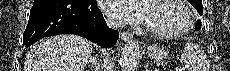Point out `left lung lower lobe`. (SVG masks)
Segmentation results:
<instances>
[{
	"label": "left lung lower lobe",
	"instance_id": "1",
	"mask_svg": "<svg viewBox=\"0 0 230 71\" xmlns=\"http://www.w3.org/2000/svg\"><path fill=\"white\" fill-rule=\"evenodd\" d=\"M200 27H201V21H200V20H198V21H197V24H196V29H197V30H199V29H200Z\"/></svg>",
	"mask_w": 230,
	"mask_h": 71
}]
</instances>
